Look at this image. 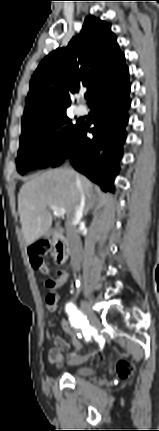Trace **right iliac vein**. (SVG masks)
Masks as SVG:
<instances>
[{"mask_svg":"<svg viewBox=\"0 0 159 431\" xmlns=\"http://www.w3.org/2000/svg\"><path fill=\"white\" fill-rule=\"evenodd\" d=\"M80 305H81L82 312L85 314V316L87 317V319L90 322V324L93 327H97V325H98V319H97L95 313L90 308V305L88 304V302L85 301V300H81ZM92 355H93V353H90V354H88L86 356L78 357L76 359H73L71 361V363L72 364H81V363L87 361Z\"/></svg>","mask_w":159,"mask_h":431,"instance_id":"right-iliac-vein-1","label":"right iliac vein"}]
</instances>
